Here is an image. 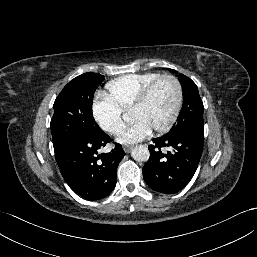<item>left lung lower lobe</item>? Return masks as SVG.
Listing matches in <instances>:
<instances>
[{
	"instance_id": "1",
	"label": "left lung lower lobe",
	"mask_w": 257,
	"mask_h": 257,
	"mask_svg": "<svg viewBox=\"0 0 257 257\" xmlns=\"http://www.w3.org/2000/svg\"><path fill=\"white\" fill-rule=\"evenodd\" d=\"M204 133L186 132L164 135L149 146L150 158L143 167V177L153 190L171 194L183 189L192 179L203 151ZM171 147L167 153L162 148Z\"/></svg>"
}]
</instances>
